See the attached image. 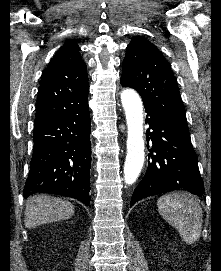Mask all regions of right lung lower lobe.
<instances>
[{"label": "right lung lower lobe", "instance_id": "98d812e1", "mask_svg": "<svg viewBox=\"0 0 221 271\" xmlns=\"http://www.w3.org/2000/svg\"><path fill=\"white\" fill-rule=\"evenodd\" d=\"M34 148L24 198L50 193L90 203V115L88 107L35 125Z\"/></svg>", "mask_w": 221, "mask_h": 271}]
</instances>
